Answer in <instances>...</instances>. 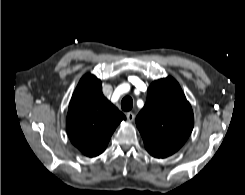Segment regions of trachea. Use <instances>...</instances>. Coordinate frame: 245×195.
<instances>
[{
    "mask_svg": "<svg viewBox=\"0 0 245 195\" xmlns=\"http://www.w3.org/2000/svg\"><path fill=\"white\" fill-rule=\"evenodd\" d=\"M133 107V100L131 97L129 96H126L122 99L121 101V108L124 110V111H130Z\"/></svg>",
    "mask_w": 245,
    "mask_h": 195,
    "instance_id": "1",
    "label": "trachea"
}]
</instances>
